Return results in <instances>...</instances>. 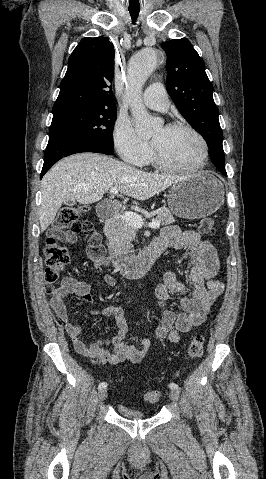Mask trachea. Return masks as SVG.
I'll return each instance as SVG.
<instances>
[{
	"label": "trachea",
	"mask_w": 266,
	"mask_h": 479,
	"mask_svg": "<svg viewBox=\"0 0 266 479\" xmlns=\"http://www.w3.org/2000/svg\"><path fill=\"white\" fill-rule=\"evenodd\" d=\"M129 13L131 15V18H132V21L135 22L138 18V15H139V12H140V9H132V8H129Z\"/></svg>",
	"instance_id": "trachea-1"
}]
</instances>
